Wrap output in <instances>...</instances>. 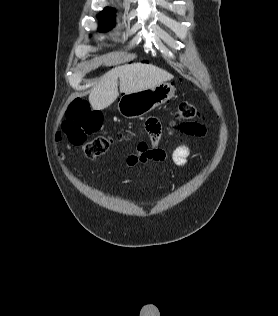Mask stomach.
I'll return each mask as SVG.
<instances>
[{"instance_id":"0dacf381","label":"stomach","mask_w":278,"mask_h":316,"mask_svg":"<svg viewBox=\"0 0 278 316\" xmlns=\"http://www.w3.org/2000/svg\"><path fill=\"white\" fill-rule=\"evenodd\" d=\"M175 93L171 83L163 82L136 93L124 94L118 102V110L126 118H137L170 100Z\"/></svg>"}]
</instances>
